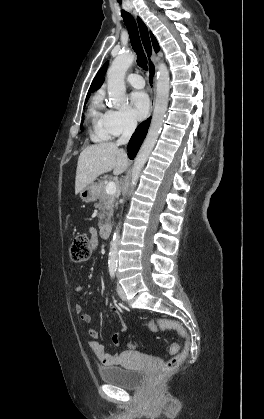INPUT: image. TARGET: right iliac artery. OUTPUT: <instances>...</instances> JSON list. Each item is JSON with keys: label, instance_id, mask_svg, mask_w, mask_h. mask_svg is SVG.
<instances>
[{"label": "right iliac artery", "instance_id": "82829eb1", "mask_svg": "<svg viewBox=\"0 0 264 419\" xmlns=\"http://www.w3.org/2000/svg\"><path fill=\"white\" fill-rule=\"evenodd\" d=\"M109 272L112 278L115 277V273H116V268L115 267H110L109 268Z\"/></svg>", "mask_w": 264, "mask_h": 419}]
</instances>
